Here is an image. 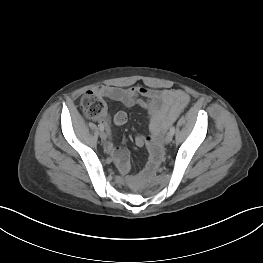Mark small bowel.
Listing matches in <instances>:
<instances>
[{"mask_svg": "<svg viewBox=\"0 0 263 263\" xmlns=\"http://www.w3.org/2000/svg\"><path fill=\"white\" fill-rule=\"evenodd\" d=\"M93 92L100 97L122 103L127 107L139 105L148 112L149 135H139L135 138L138 147L147 145L155 151L159 145L163 133L173 123L183 109L189 103V95L179 89L157 90L143 86L119 88L114 86L101 85ZM101 123L108 126L109 119L106 115L100 118ZM127 122V114L118 111L113 116V123L117 126ZM106 151L115 160L120 172L128 175L130 162L128 151L122 147L115 146L111 139L105 144ZM130 181H135L136 176H129Z\"/></svg>", "mask_w": 263, "mask_h": 263, "instance_id": "obj_1", "label": "small bowel"}]
</instances>
